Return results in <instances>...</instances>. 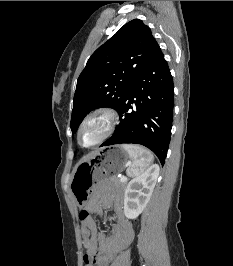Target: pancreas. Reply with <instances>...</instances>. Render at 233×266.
<instances>
[{"label": "pancreas", "mask_w": 233, "mask_h": 266, "mask_svg": "<svg viewBox=\"0 0 233 266\" xmlns=\"http://www.w3.org/2000/svg\"><path fill=\"white\" fill-rule=\"evenodd\" d=\"M111 180L116 184L119 185L120 187L124 188L127 185V181L125 182H121L119 178H117L116 176H113L111 178Z\"/></svg>", "instance_id": "obj_1"}]
</instances>
